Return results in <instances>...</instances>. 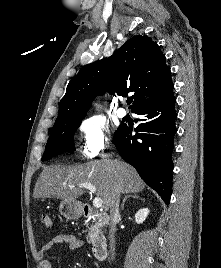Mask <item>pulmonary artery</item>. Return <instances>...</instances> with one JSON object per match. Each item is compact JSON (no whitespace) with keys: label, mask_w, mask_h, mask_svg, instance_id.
<instances>
[{"label":"pulmonary artery","mask_w":221,"mask_h":268,"mask_svg":"<svg viewBox=\"0 0 221 268\" xmlns=\"http://www.w3.org/2000/svg\"><path fill=\"white\" fill-rule=\"evenodd\" d=\"M117 115L119 118H124L127 115V111L124 108H119L117 110Z\"/></svg>","instance_id":"1"}]
</instances>
